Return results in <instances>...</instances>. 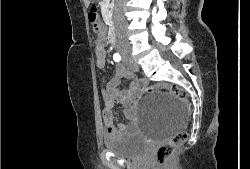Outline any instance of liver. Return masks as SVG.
I'll list each match as a JSON object with an SVG mask.
<instances>
[{
    "label": "liver",
    "instance_id": "obj_1",
    "mask_svg": "<svg viewBox=\"0 0 250 169\" xmlns=\"http://www.w3.org/2000/svg\"><path fill=\"white\" fill-rule=\"evenodd\" d=\"M84 2H85V4H86V6H89L90 0H84Z\"/></svg>",
    "mask_w": 250,
    "mask_h": 169
}]
</instances>
